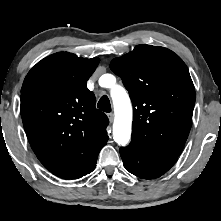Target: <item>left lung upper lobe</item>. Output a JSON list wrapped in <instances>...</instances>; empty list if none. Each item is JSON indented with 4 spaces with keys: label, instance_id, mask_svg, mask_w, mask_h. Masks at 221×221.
I'll list each match as a JSON object with an SVG mask.
<instances>
[{
    "label": "left lung upper lobe",
    "instance_id": "obj_1",
    "mask_svg": "<svg viewBox=\"0 0 221 221\" xmlns=\"http://www.w3.org/2000/svg\"><path fill=\"white\" fill-rule=\"evenodd\" d=\"M118 75L133 103L132 140L144 150L178 157L187 140L195 104V89L182 59L171 50L138 45L115 58Z\"/></svg>",
    "mask_w": 221,
    "mask_h": 221
}]
</instances>
